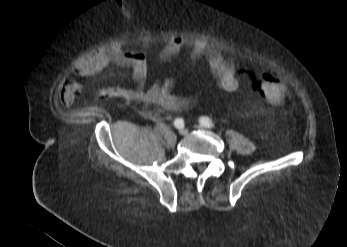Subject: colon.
Segmentation results:
<instances>
[{
	"label": "colon",
	"instance_id": "colon-1",
	"mask_svg": "<svg viewBox=\"0 0 347 247\" xmlns=\"http://www.w3.org/2000/svg\"><path fill=\"white\" fill-rule=\"evenodd\" d=\"M257 86L262 94V99L272 105L283 103L287 97V88L280 81L277 73L271 69H264L257 75ZM106 97H115L112 93H106Z\"/></svg>",
	"mask_w": 347,
	"mask_h": 247
}]
</instances>
